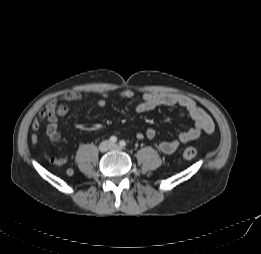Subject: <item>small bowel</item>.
I'll list each match as a JSON object with an SVG mask.
<instances>
[{
  "instance_id": "c3829d8e",
  "label": "small bowel",
  "mask_w": 261,
  "mask_h": 254,
  "mask_svg": "<svg viewBox=\"0 0 261 254\" xmlns=\"http://www.w3.org/2000/svg\"><path fill=\"white\" fill-rule=\"evenodd\" d=\"M88 94H82L77 91H70L64 93L58 98L51 99L45 107L41 110L39 117L32 122L31 144L36 146L39 141V130L42 121H47L46 134L52 141H58L61 138V133L58 129V121L69 112V102L81 100L87 97ZM134 92L130 89H124L120 92V97L124 99H131ZM96 103L100 107L107 105V94L99 93ZM164 106H180L182 107L188 118L193 122V126L171 140H165L159 143V150L164 154L174 153L181 144L197 140L202 132L212 133L215 129L214 122L210 115L202 108L197 106L195 101L182 94L173 92H144L142 100L135 107V112L138 114L152 111ZM156 131L153 128H148L144 132L137 133L138 139H154ZM47 160L56 166H63L67 163V157H55L46 155ZM68 170V169H67ZM66 170V171H67ZM72 170V169H70ZM73 172V170H72ZM73 174V173H72Z\"/></svg>"
}]
</instances>
